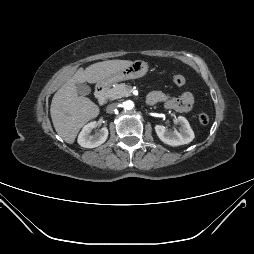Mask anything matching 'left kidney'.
Instances as JSON below:
<instances>
[{
    "label": "left kidney",
    "mask_w": 254,
    "mask_h": 254,
    "mask_svg": "<svg viewBox=\"0 0 254 254\" xmlns=\"http://www.w3.org/2000/svg\"><path fill=\"white\" fill-rule=\"evenodd\" d=\"M177 121L180 125V130L170 131L163 125H156L155 131L159 139L167 145L179 146L190 143L194 139V132L190 127L188 120L179 116Z\"/></svg>",
    "instance_id": "left-kidney-1"
}]
</instances>
